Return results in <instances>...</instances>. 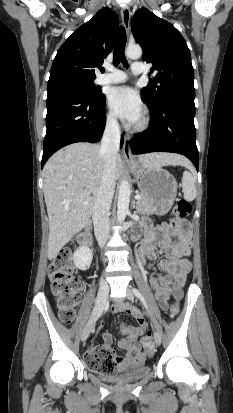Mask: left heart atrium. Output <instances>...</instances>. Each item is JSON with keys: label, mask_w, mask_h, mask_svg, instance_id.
Masks as SVG:
<instances>
[{"label": "left heart atrium", "mask_w": 233, "mask_h": 413, "mask_svg": "<svg viewBox=\"0 0 233 413\" xmlns=\"http://www.w3.org/2000/svg\"><path fill=\"white\" fill-rule=\"evenodd\" d=\"M108 104L118 117L130 124L138 122L143 113V103L138 93L129 87L112 89Z\"/></svg>", "instance_id": "39dd6f15"}]
</instances>
